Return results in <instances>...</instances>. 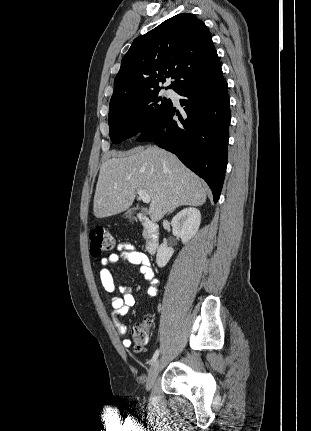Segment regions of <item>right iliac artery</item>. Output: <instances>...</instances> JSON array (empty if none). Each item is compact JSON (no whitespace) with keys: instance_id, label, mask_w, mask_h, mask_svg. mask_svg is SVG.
Instances as JSON below:
<instances>
[{"instance_id":"1","label":"right iliac artery","mask_w":311,"mask_h":431,"mask_svg":"<svg viewBox=\"0 0 311 431\" xmlns=\"http://www.w3.org/2000/svg\"><path fill=\"white\" fill-rule=\"evenodd\" d=\"M158 355H159V350H156V352L154 353V355L150 361L151 364H153L156 361Z\"/></svg>"}]
</instances>
